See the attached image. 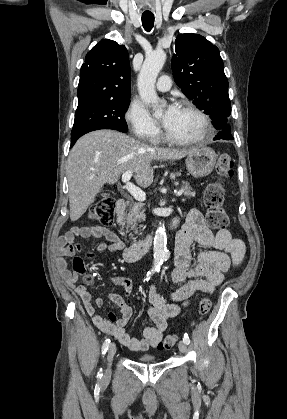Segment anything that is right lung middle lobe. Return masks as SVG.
Here are the masks:
<instances>
[{"instance_id": "right-lung-middle-lobe-1", "label": "right lung middle lobe", "mask_w": 287, "mask_h": 419, "mask_svg": "<svg viewBox=\"0 0 287 419\" xmlns=\"http://www.w3.org/2000/svg\"><path fill=\"white\" fill-rule=\"evenodd\" d=\"M129 103V99L112 100L77 109L71 131V144L82 135L94 130L113 129L127 132L124 116Z\"/></svg>"}]
</instances>
